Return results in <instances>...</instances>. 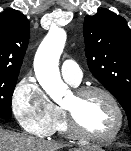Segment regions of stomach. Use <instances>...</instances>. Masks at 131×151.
I'll use <instances>...</instances> for the list:
<instances>
[{
    "instance_id": "0dacf381",
    "label": "stomach",
    "mask_w": 131,
    "mask_h": 151,
    "mask_svg": "<svg viewBox=\"0 0 131 151\" xmlns=\"http://www.w3.org/2000/svg\"><path fill=\"white\" fill-rule=\"evenodd\" d=\"M83 151H105V150L100 147H92V148L85 149Z\"/></svg>"
}]
</instances>
